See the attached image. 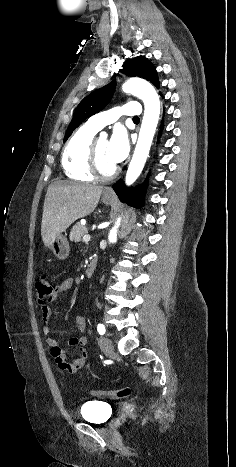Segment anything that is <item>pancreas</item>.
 <instances>
[{
	"mask_svg": "<svg viewBox=\"0 0 236 467\" xmlns=\"http://www.w3.org/2000/svg\"><path fill=\"white\" fill-rule=\"evenodd\" d=\"M87 233V229L80 223L75 224L70 232V240L74 242H80L81 237Z\"/></svg>",
	"mask_w": 236,
	"mask_h": 467,
	"instance_id": "pancreas-1",
	"label": "pancreas"
}]
</instances>
